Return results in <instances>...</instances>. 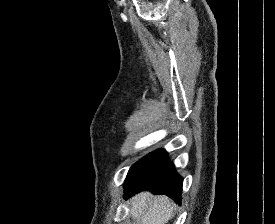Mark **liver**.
I'll list each match as a JSON object with an SVG mask.
<instances>
[{"label": "liver", "instance_id": "1", "mask_svg": "<svg viewBox=\"0 0 275 224\" xmlns=\"http://www.w3.org/2000/svg\"><path fill=\"white\" fill-rule=\"evenodd\" d=\"M130 215L141 224H167L174 216L173 202L167 196L142 192L131 200Z\"/></svg>", "mask_w": 275, "mask_h": 224}]
</instances>
